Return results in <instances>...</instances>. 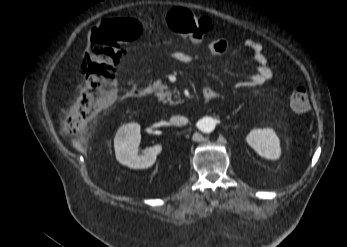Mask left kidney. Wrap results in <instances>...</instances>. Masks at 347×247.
I'll list each match as a JSON object with an SVG mask.
<instances>
[{"instance_id":"left-kidney-1","label":"left kidney","mask_w":347,"mask_h":247,"mask_svg":"<svg viewBox=\"0 0 347 247\" xmlns=\"http://www.w3.org/2000/svg\"><path fill=\"white\" fill-rule=\"evenodd\" d=\"M246 140L261 157L277 160L281 155L280 140L271 128L254 129Z\"/></svg>"}]
</instances>
